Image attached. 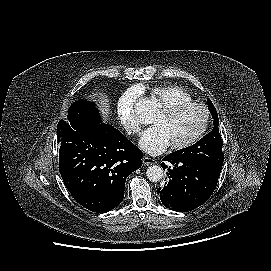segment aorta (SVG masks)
I'll return each instance as SVG.
<instances>
[{
  "label": "aorta",
  "mask_w": 271,
  "mask_h": 271,
  "mask_svg": "<svg viewBox=\"0 0 271 271\" xmlns=\"http://www.w3.org/2000/svg\"><path fill=\"white\" fill-rule=\"evenodd\" d=\"M151 103H153L151 100L145 101V105H147V107H150V109H153V107L151 106L152 105ZM146 174H147V178L151 182H159L163 178V169L160 166L153 165V166L148 167Z\"/></svg>",
  "instance_id": "aorta-1"
}]
</instances>
